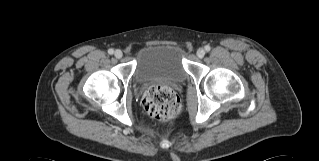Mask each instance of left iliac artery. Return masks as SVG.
Returning a JSON list of instances; mask_svg holds the SVG:
<instances>
[{
  "mask_svg": "<svg viewBox=\"0 0 319 161\" xmlns=\"http://www.w3.org/2000/svg\"><path fill=\"white\" fill-rule=\"evenodd\" d=\"M210 49H211V47H210L209 45H206V46H205V50H206V51H210Z\"/></svg>",
  "mask_w": 319,
  "mask_h": 161,
  "instance_id": "obj_1",
  "label": "left iliac artery"
}]
</instances>
